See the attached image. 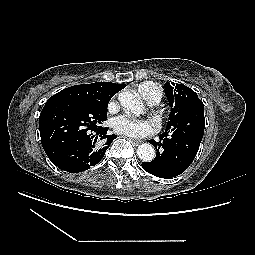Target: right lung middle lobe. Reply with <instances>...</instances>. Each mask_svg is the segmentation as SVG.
I'll list each match as a JSON object with an SVG mask.
<instances>
[{"mask_svg": "<svg viewBox=\"0 0 255 255\" xmlns=\"http://www.w3.org/2000/svg\"><path fill=\"white\" fill-rule=\"evenodd\" d=\"M109 101L59 99L46 102L39 118L42 139L61 146L95 130L106 120Z\"/></svg>", "mask_w": 255, "mask_h": 255, "instance_id": "obj_1", "label": "right lung middle lobe"}]
</instances>
